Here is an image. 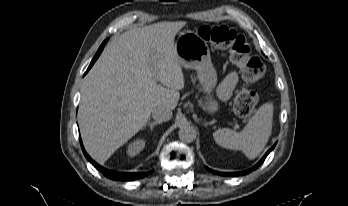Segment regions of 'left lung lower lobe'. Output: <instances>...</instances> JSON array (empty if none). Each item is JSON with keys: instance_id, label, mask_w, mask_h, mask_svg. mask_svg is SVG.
Returning a JSON list of instances; mask_svg holds the SVG:
<instances>
[{"instance_id": "1", "label": "left lung lower lobe", "mask_w": 348, "mask_h": 206, "mask_svg": "<svg viewBox=\"0 0 348 206\" xmlns=\"http://www.w3.org/2000/svg\"><path fill=\"white\" fill-rule=\"evenodd\" d=\"M275 147V144L273 145L272 148H270L267 153L262 157V159L251 169L249 170H246L244 172H232V173H224V172H217V171H214V170H210L208 169L210 172L212 173H215V174H219V175H224V176H239V175H245V174H248L250 173L251 171L255 170L256 168H258L262 162L265 160V158L267 157V155L273 150V148Z\"/></svg>"}]
</instances>
